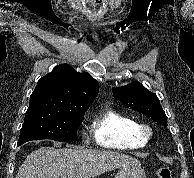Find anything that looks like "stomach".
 <instances>
[{
	"label": "stomach",
	"mask_w": 194,
	"mask_h": 178,
	"mask_svg": "<svg viewBox=\"0 0 194 178\" xmlns=\"http://www.w3.org/2000/svg\"><path fill=\"white\" fill-rule=\"evenodd\" d=\"M115 178H146V174L140 165L130 166L120 169Z\"/></svg>",
	"instance_id": "0dacf381"
}]
</instances>
